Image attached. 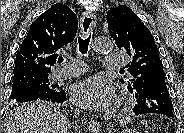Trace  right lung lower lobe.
<instances>
[{
    "label": "right lung lower lobe",
    "instance_id": "right-lung-lower-lobe-1",
    "mask_svg": "<svg viewBox=\"0 0 184 133\" xmlns=\"http://www.w3.org/2000/svg\"><path fill=\"white\" fill-rule=\"evenodd\" d=\"M37 99L57 102V103H64L66 101V94H65V91L63 90H57L54 94L47 95V96H39L31 93L19 94V95H16L14 98H12V103L18 104L23 102L34 101Z\"/></svg>",
    "mask_w": 184,
    "mask_h": 133
}]
</instances>
